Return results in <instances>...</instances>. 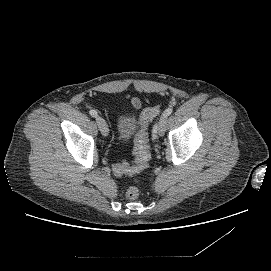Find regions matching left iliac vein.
Instances as JSON below:
<instances>
[{
	"mask_svg": "<svg viewBox=\"0 0 271 271\" xmlns=\"http://www.w3.org/2000/svg\"><path fill=\"white\" fill-rule=\"evenodd\" d=\"M166 130V117H161L158 125V134L163 136Z\"/></svg>",
	"mask_w": 271,
	"mask_h": 271,
	"instance_id": "left-iliac-vein-1",
	"label": "left iliac vein"
}]
</instances>
